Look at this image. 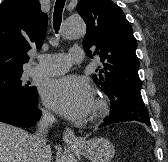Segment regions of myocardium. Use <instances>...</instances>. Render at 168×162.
<instances>
[{
    "label": "myocardium",
    "mask_w": 168,
    "mask_h": 162,
    "mask_svg": "<svg viewBox=\"0 0 168 162\" xmlns=\"http://www.w3.org/2000/svg\"><path fill=\"white\" fill-rule=\"evenodd\" d=\"M108 111H109V105L107 101L102 98L96 99L92 107L91 120L96 121L105 117Z\"/></svg>",
    "instance_id": "f54148a6"
}]
</instances>
